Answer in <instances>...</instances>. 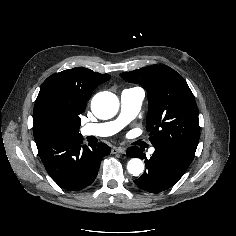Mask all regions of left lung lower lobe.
Segmentation results:
<instances>
[{
	"mask_svg": "<svg viewBox=\"0 0 236 236\" xmlns=\"http://www.w3.org/2000/svg\"><path fill=\"white\" fill-rule=\"evenodd\" d=\"M155 152L145 158L147 170L135 184L150 193L165 191L176 184L194 159L195 153L169 145H154ZM130 157H142L138 147L127 149Z\"/></svg>",
	"mask_w": 236,
	"mask_h": 236,
	"instance_id": "1",
	"label": "left lung lower lobe"
}]
</instances>
